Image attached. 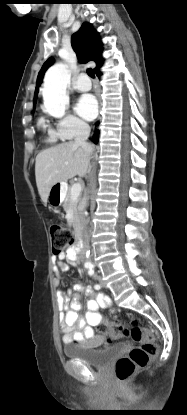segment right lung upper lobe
Listing matches in <instances>:
<instances>
[{
	"mask_svg": "<svg viewBox=\"0 0 187 415\" xmlns=\"http://www.w3.org/2000/svg\"><path fill=\"white\" fill-rule=\"evenodd\" d=\"M71 45L74 51L76 52L80 62L87 63L89 61H94L96 63L94 72L99 70L103 62V59L101 57L102 43L99 39L98 33L93 29L90 23H83L80 29L72 35ZM52 64L53 59L49 58L43 64L38 74L35 89L34 106L36 104V96L38 93L39 86L42 82L44 73Z\"/></svg>",
	"mask_w": 187,
	"mask_h": 415,
	"instance_id": "right-lung-upper-lobe-1",
	"label": "right lung upper lobe"
}]
</instances>
